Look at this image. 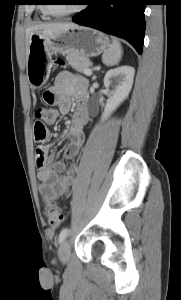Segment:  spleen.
Returning a JSON list of instances; mask_svg holds the SVG:
<instances>
[{"mask_svg":"<svg viewBox=\"0 0 181 300\" xmlns=\"http://www.w3.org/2000/svg\"><path fill=\"white\" fill-rule=\"evenodd\" d=\"M122 57V46L118 39L112 37V44L103 53L102 61L106 66L117 65Z\"/></svg>","mask_w":181,"mask_h":300,"instance_id":"1","label":"spleen"}]
</instances>
